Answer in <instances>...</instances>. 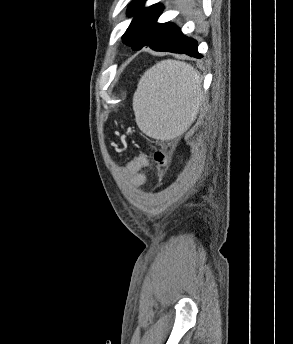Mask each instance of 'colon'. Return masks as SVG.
Masks as SVG:
<instances>
[{"instance_id":"obj_1","label":"colon","mask_w":293,"mask_h":344,"mask_svg":"<svg viewBox=\"0 0 293 344\" xmlns=\"http://www.w3.org/2000/svg\"><path fill=\"white\" fill-rule=\"evenodd\" d=\"M153 161L157 167L158 173L162 175L169 164V151L167 148L156 149L153 153Z\"/></svg>"}]
</instances>
